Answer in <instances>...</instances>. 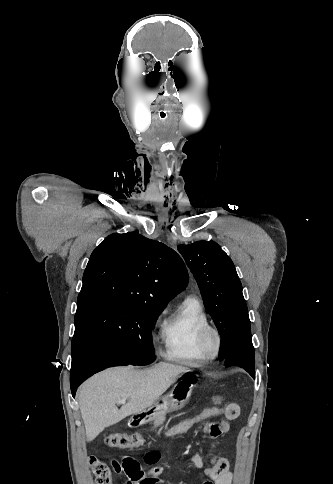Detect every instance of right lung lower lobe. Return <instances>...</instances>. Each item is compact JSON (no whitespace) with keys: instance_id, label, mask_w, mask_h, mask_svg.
Listing matches in <instances>:
<instances>
[{"instance_id":"right-lung-lower-lobe-1","label":"right lung lower lobe","mask_w":333,"mask_h":484,"mask_svg":"<svg viewBox=\"0 0 333 484\" xmlns=\"http://www.w3.org/2000/svg\"><path fill=\"white\" fill-rule=\"evenodd\" d=\"M128 364L131 361L117 347L93 334L82 335L72 353L70 383L73 397L77 387L92 374L107 367Z\"/></svg>"}]
</instances>
